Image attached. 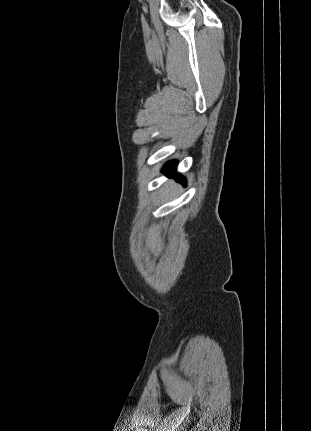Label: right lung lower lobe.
Listing matches in <instances>:
<instances>
[{
	"label": "right lung lower lobe",
	"instance_id": "98d812e1",
	"mask_svg": "<svg viewBox=\"0 0 311 431\" xmlns=\"http://www.w3.org/2000/svg\"><path fill=\"white\" fill-rule=\"evenodd\" d=\"M176 165H177L176 161H170L165 165L163 171L164 173L170 174V177L175 178L178 182H181L182 184L185 185V179L182 176H180L178 173H175Z\"/></svg>",
	"mask_w": 311,
	"mask_h": 431
}]
</instances>
